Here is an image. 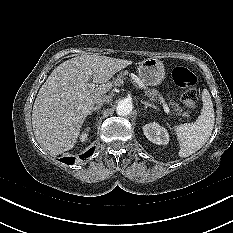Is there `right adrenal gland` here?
<instances>
[{
  "label": "right adrenal gland",
  "instance_id": "obj_1",
  "mask_svg": "<svg viewBox=\"0 0 233 233\" xmlns=\"http://www.w3.org/2000/svg\"><path fill=\"white\" fill-rule=\"evenodd\" d=\"M100 108H101V106H100V105H99V106L94 107V108L90 111L89 115H92V113H93V112H97V114H98V113H99ZM96 119H98V117H97Z\"/></svg>",
  "mask_w": 233,
  "mask_h": 233
}]
</instances>
